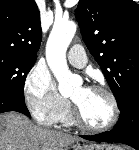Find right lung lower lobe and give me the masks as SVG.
Masks as SVG:
<instances>
[{
  "instance_id": "98d812e1",
  "label": "right lung lower lobe",
  "mask_w": 139,
  "mask_h": 150,
  "mask_svg": "<svg viewBox=\"0 0 139 150\" xmlns=\"http://www.w3.org/2000/svg\"><path fill=\"white\" fill-rule=\"evenodd\" d=\"M8 111L20 112L31 117L25 105V99L7 93H0V113Z\"/></svg>"
}]
</instances>
